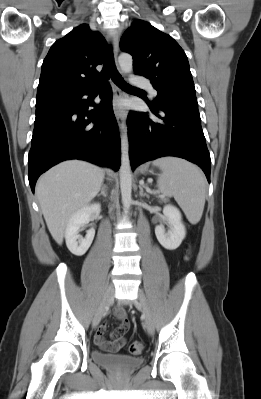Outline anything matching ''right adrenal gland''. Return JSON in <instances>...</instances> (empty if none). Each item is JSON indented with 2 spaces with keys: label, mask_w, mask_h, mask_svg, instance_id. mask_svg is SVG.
<instances>
[{
  "label": "right adrenal gland",
  "mask_w": 261,
  "mask_h": 399,
  "mask_svg": "<svg viewBox=\"0 0 261 399\" xmlns=\"http://www.w3.org/2000/svg\"><path fill=\"white\" fill-rule=\"evenodd\" d=\"M101 195H102L104 198L107 197V186H106L105 184H102V185H101L100 193L97 194L98 197L101 196Z\"/></svg>",
  "instance_id": "2a0ac1e0"
}]
</instances>
